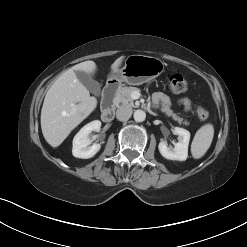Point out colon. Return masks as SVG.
Listing matches in <instances>:
<instances>
[{
  "label": "colon",
  "mask_w": 247,
  "mask_h": 247,
  "mask_svg": "<svg viewBox=\"0 0 247 247\" xmlns=\"http://www.w3.org/2000/svg\"><path fill=\"white\" fill-rule=\"evenodd\" d=\"M168 88L174 93H182L188 89L187 80L179 73L170 74L167 78ZM198 117L205 120L209 117V111L205 107H198Z\"/></svg>",
  "instance_id": "1"
}]
</instances>
